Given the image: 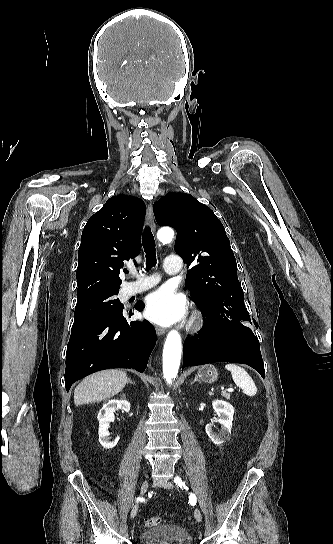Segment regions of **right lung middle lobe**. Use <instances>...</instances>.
I'll return each instance as SVG.
<instances>
[{"label": "right lung middle lobe", "instance_id": "obj_1", "mask_svg": "<svg viewBox=\"0 0 333 544\" xmlns=\"http://www.w3.org/2000/svg\"><path fill=\"white\" fill-rule=\"evenodd\" d=\"M118 292H103L78 299L71 333L81 330L101 318L122 311L123 305L118 298H115Z\"/></svg>", "mask_w": 333, "mask_h": 544}]
</instances>
